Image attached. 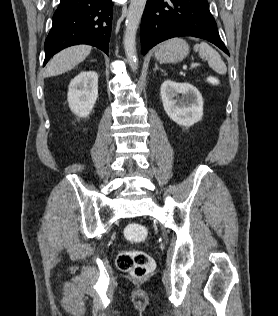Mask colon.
Listing matches in <instances>:
<instances>
[{"label":"colon","instance_id":"1","mask_svg":"<svg viewBox=\"0 0 278 316\" xmlns=\"http://www.w3.org/2000/svg\"><path fill=\"white\" fill-rule=\"evenodd\" d=\"M210 82L216 84L218 79L211 77ZM125 238L134 243L145 240L148 236L147 228L140 223H130L124 229ZM117 268L135 278L148 276L155 268L152 256L140 250H122L116 259Z\"/></svg>","mask_w":278,"mask_h":316}]
</instances>
